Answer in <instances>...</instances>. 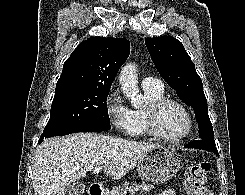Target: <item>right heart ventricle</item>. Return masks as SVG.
Returning <instances> with one entry per match:
<instances>
[{"instance_id":"obj_1","label":"right heart ventricle","mask_w":245,"mask_h":195,"mask_svg":"<svg viewBox=\"0 0 245 195\" xmlns=\"http://www.w3.org/2000/svg\"><path fill=\"white\" fill-rule=\"evenodd\" d=\"M147 96L149 104L165 98L164 89H149L144 90ZM145 110L146 109H135L132 111V131L129 134L132 137H141L147 134L146 122H145Z\"/></svg>"}]
</instances>
